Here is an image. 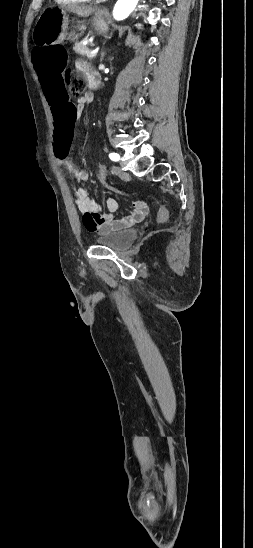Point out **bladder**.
<instances>
[{
  "label": "bladder",
  "instance_id": "bladder-1",
  "mask_svg": "<svg viewBox=\"0 0 253 548\" xmlns=\"http://www.w3.org/2000/svg\"><path fill=\"white\" fill-rule=\"evenodd\" d=\"M138 231L135 228L110 231L100 234L95 243L100 246H106L114 250L127 249L137 238Z\"/></svg>",
  "mask_w": 253,
  "mask_h": 548
}]
</instances>
